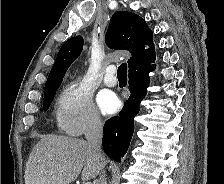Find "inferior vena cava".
Masks as SVG:
<instances>
[{
	"label": "inferior vena cava",
	"mask_w": 224,
	"mask_h": 184,
	"mask_svg": "<svg viewBox=\"0 0 224 184\" xmlns=\"http://www.w3.org/2000/svg\"><path fill=\"white\" fill-rule=\"evenodd\" d=\"M85 137L88 145L93 149L94 153L101 159H104L101 152L102 143V123L97 115L92 116L87 124ZM99 184H107L105 174L102 173L99 178Z\"/></svg>",
	"instance_id": "obj_1"
}]
</instances>
